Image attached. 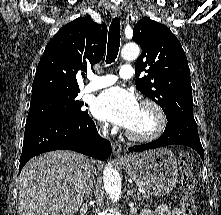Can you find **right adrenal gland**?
Instances as JSON below:
<instances>
[{
	"label": "right adrenal gland",
	"instance_id": "obj_1",
	"mask_svg": "<svg viewBox=\"0 0 221 215\" xmlns=\"http://www.w3.org/2000/svg\"><path fill=\"white\" fill-rule=\"evenodd\" d=\"M91 187H92V185H89V186L87 187L86 192H85V198H87V197L89 196V194H90V192H91Z\"/></svg>",
	"mask_w": 221,
	"mask_h": 215
}]
</instances>
